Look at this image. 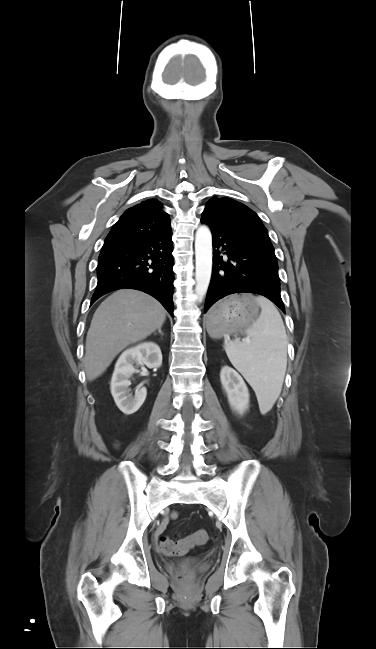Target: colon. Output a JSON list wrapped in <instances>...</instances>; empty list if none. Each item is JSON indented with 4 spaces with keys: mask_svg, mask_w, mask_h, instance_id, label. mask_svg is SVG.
Returning <instances> with one entry per match:
<instances>
[{
    "mask_svg": "<svg viewBox=\"0 0 376 649\" xmlns=\"http://www.w3.org/2000/svg\"><path fill=\"white\" fill-rule=\"evenodd\" d=\"M209 540V535L205 530H198L194 532L188 540L170 538L164 536L160 539V547L163 552L167 554H182L184 553L191 543L198 545L205 544ZM188 572L181 570L177 574V579L181 582L186 581Z\"/></svg>",
    "mask_w": 376,
    "mask_h": 649,
    "instance_id": "1",
    "label": "colon"
}]
</instances>
